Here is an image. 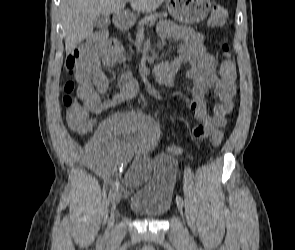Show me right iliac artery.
<instances>
[{"label": "right iliac artery", "mask_w": 295, "mask_h": 250, "mask_svg": "<svg viewBox=\"0 0 295 250\" xmlns=\"http://www.w3.org/2000/svg\"><path fill=\"white\" fill-rule=\"evenodd\" d=\"M118 188H119V182H116L112 186V188L110 189L109 196H108V201H107V205H109V202L112 200V198L114 197V195L118 191Z\"/></svg>", "instance_id": "right-iliac-artery-1"}]
</instances>
